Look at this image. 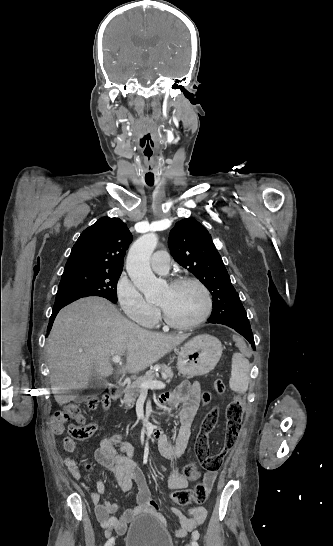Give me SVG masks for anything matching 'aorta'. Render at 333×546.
I'll use <instances>...</instances> for the list:
<instances>
[{
    "mask_svg": "<svg viewBox=\"0 0 333 546\" xmlns=\"http://www.w3.org/2000/svg\"><path fill=\"white\" fill-rule=\"evenodd\" d=\"M157 242L154 233L142 235L132 244L126 259V270L131 280L147 300L155 299L158 293L157 278L150 267V256Z\"/></svg>",
    "mask_w": 333,
    "mask_h": 546,
    "instance_id": "1",
    "label": "aorta"
}]
</instances>
